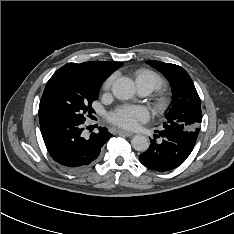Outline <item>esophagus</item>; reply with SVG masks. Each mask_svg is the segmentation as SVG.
Returning <instances> with one entry per match:
<instances>
[{"mask_svg": "<svg viewBox=\"0 0 234 234\" xmlns=\"http://www.w3.org/2000/svg\"><path fill=\"white\" fill-rule=\"evenodd\" d=\"M117 133L120 134V135L127 136V137H130V136L133 135L132 132H128V131H124V130H118Z\"/></svg>", "mask_w": 234, "mask_h": 234, "instance_id": "1", "label": "esophagus"}]
</instances>
